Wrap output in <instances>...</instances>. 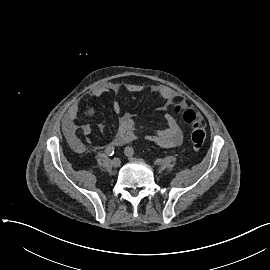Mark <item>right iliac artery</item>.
Returning a JSON list of instances; mask_svg holds the SVG:
<instances>
[{
  "instance_id": "1",
  "label": "right iliac artery",
  "mask_w": 270,
  "mask_h": 270,
  "mask_svg": "<svg viewBox=\"0 0 270 270\" xmlns=\"http://www.w3.org/2000/svg\"><path fill=\"white\" fill-rule=\"evenodd\" d=\"M105 152L108 156L114 155V152H115L114 146H112V145L107 146L105 149Z\"/></svg>"
}]
</instances>
